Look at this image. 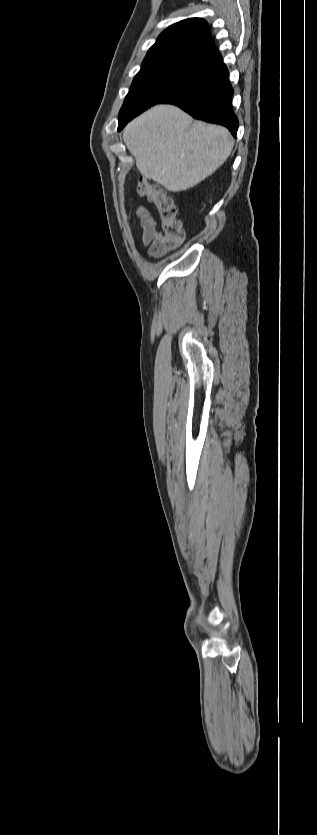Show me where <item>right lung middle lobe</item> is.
Masks as SVG:
<instances>
[{
  "label": "right lung middle lobe",
  "mask_w": 317,
  "mask_h": 835,
  "mask_svg": "<svg viewBox=\"0 0 317 835\" xmlns=\"http://www.w3.org/2000/svg\"><path fill=\"white\" fill-rule=\"evenodd\" d=\"M205 80L206 76L196 69L191 59L140 70L120 110L118 130L151 106Z\"/></svg>",
  "instance_id": "1"
}]
</instances>
